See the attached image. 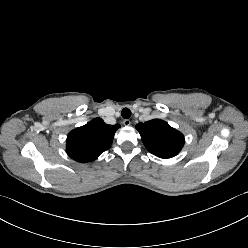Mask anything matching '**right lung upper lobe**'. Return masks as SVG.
Segmentation results:
<instances>
[{
	"label": "right lung upper lobe",
	"instance_id": "cb5924a9",
	"mask_svg": "<svg viewBox=\"0 0 248 248\" xmlns=\"http://www.w3.org/2000/svg\"><path fill=\"white\" fill-rule=\"evenodd\" d=\"M119 124L108 125L95 118L86 125L72 130L66 141L68 155L78 162H91L109 149Z\"/></svg>",
	"mask_w": 248,
	"mask_h": 248
}]
</instances>
